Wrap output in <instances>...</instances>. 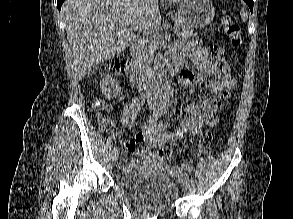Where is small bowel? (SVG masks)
<instances>
[{
    "instance_id": "small-bowel-1",
    "label": "small bowel",
    "mask_w": 293,
    "mask_h": 219,
    "mask_svg": "<svg viewBox=\"0 0 293 219\" xmlns=\"http://www.w3.org/2000/svg\"><path fill=\"white\" fill-rule=\"evenodd\" d=\"M184 57H188L198 71L207 78H197L190 71H183L181 83L189 87L207 89L211 98L200 103H191L187 106V117L180 127L170 132L162 124H146L141 132L125 141L126 148L140 158L150 156L153 147L166 144L171 146L179 144L185 137L193 138L200 136L204 126H215L218 122L216 113L229 98V91L236 86V80L230 74L222 73L216 63L209 57L206 48L196 41H184L180 45V53L176 58L181 62ZM144 96L138 95L125 107L121 119L127 126H132L137 112L144 103ZM143 142L145 148L139 149L137 143Z\"/></svg>"
}]
</instances>
